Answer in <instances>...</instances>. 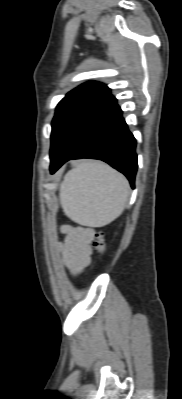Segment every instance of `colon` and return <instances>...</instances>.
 Segmentation results:
<instances>
[{
  "label": "colon",
  "instance_id": "5ec220e1",
  "mask_svg": "<svg viewBox=\"0 0 182 399\" xmlns=\"http://www.w3.org/2000/svg\"><path fill=\"white\" fill-rule=\"evenodd\" d=\"M93 245L100 254V256H103L106 250L105 232L103 230H98L95 232L93 238Z\"/></svg>",
  "mask_w": 182,
  "mask_h": 399
}]
</instances>
